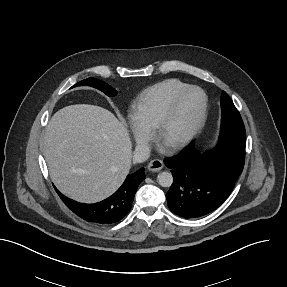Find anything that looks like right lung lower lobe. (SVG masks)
Returning <instances> with one entry per match:
<instances>
[{
  "label": "right lung lower lobe",
  "instance_id": "obj_1",
  "mask_svg": "<svg viewBox=\"0 0 287 287\" xmlns=\"http://www.w3.org/2000/svg\"><path fill=\"white\" fill-rule=\"evenodd\" d=\"M145 179L144 168L129 174L122 186L109 198L95 203L84 204L67 198L59 191L65 205L80 218L101 225L112 224L124 218L132 207L139 184Z\"/></svg>",
  "mask_w": 287,
  "mask_h": 287
}]
</instances>
